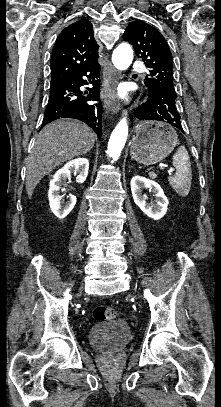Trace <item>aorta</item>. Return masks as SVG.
Here are the masks:
<instances>
[{"mask_svg":"<svg viewBox=\"0 0 221 407\" xmlns=\"http://www.w3.org/2000/svg\"><path fill=\"white\" fill-rule=\"evenodd\" d=\"M133 61V50L128 43L116 47L112 54V62L118 70H126ZM128 136V122L126 118L120 120L113 130L107 147V154L117 160L126 143Z\"/></svg>","mask_w":221,"mask_h":407,"instance_id":"1","label":"aorta"}]
</instances>
